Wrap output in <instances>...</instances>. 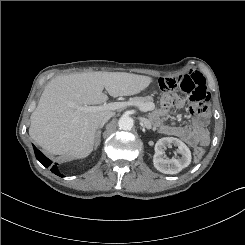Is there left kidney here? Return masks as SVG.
<instances>
[{
	"label": "left kidney",
	"mask_w": 245,
	"mask_h": 245,
	"mask_svg": "<svg viewBox=\"0 0 245 245\" xmlns=\"http://www.w3.org/2000/svg\"><path fill=\"white\" fill-rule=\"evenodd\" d=\"M174 145L178 147L180 158L164 159L163 150L166 146ZM191 151L185 143L178 138L164 137L155 144V154L153 156L154 167L164 174H177L191 163Z\"/></svg>",
	"instance_id": "1"
}]
</instances>
